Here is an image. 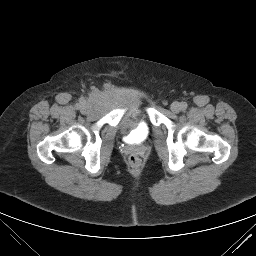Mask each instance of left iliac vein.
<instances>
[{"mask_svg":"<svg viewBox=\"0 0 256 256\" xmlns=\"http://www.w3.org/2000/svg\"><path fill=\"white\" fill-rule=\"evenodd\" d=\"M170 108L172 112L179 113L181 111V104L179 102H173Z\"/></svg>","mask_w":256,"mask_h":256,"instance_id":"1","label":"left iliac vein"}]
</instances>
